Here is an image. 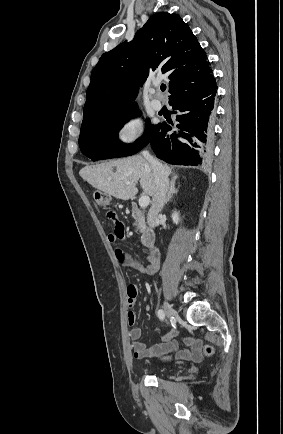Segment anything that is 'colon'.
Instances as JSON below:
<instances>
[{
    "label": "colon",
    "instance_id": "colon-1",
    "mask_svg": "<svg viewBox=\"0 0 283 434\" xmlns=\"http://www.w3.org/2000/svg\"><path fill=\"white\" fill-rule=\"evenodd\" d=\"M96 203L103 209L108 210L111 206V198L108 194L104 192L97 191L94 194ZM213 353V347L211 345H206L203 349V354L209 356Z\"/></svg>",
    "mask_w": 283,
    "mask_h": 434
}]
</instances>
